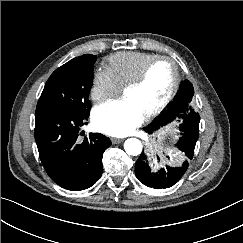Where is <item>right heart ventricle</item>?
<instances>
[{"label": "right heart ventricle", "instance_id": "1", "mask_svg": "<svg viewBox=\"0 0 243 243\" xmlns=\"http://www.w3.org/2000/svg\"><path fill=\"white\" fill-rule=\"evenodd\" d=\"M157 56L145 52H118L107 57L104 60V66L123 88L137 77L150 60Z\"/></svg>", "mask_w": 243, "mask_h": 243}]
</instances>
